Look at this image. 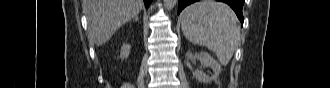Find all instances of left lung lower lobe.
Wrapping results in <instances>:
<instances>
[{"label": "left lung lower lobe", "instance_id": "left-lung-lower-lobe-1", "mask_svg": "<svg viewBox=\"0 0 330 88\" xmlns=\"http://www.w3.org/2000/svg\"><path fill=\"white\" fill-rule=\"evenodd\" d=\"M198 0H179L178 3V14L184 9L187 5L197 2ZM220 2L227 3L236 13L239 18L241 24L243 25L244 18L242 14V7L244 0H218Z\"/></svg>", "mask_w": 330, "mask_h": 88}]
</instances>
